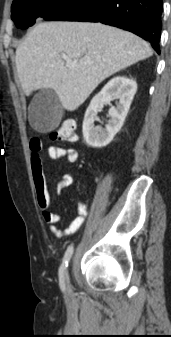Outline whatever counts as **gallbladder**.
Returning <instances> with one entry per match:
<instances>
[{
	"label": "gallbladder",
	"instance_id": "gallbladder-1",
	"mask_svg": "<svg viewBox=\"0 0 171 337\" xmlns=\"http://www.w3.org/2000/svg\"><path fill=\"white\" fill-rule=\"evenodd\" d=\"M63 108L54 90L43 89L30 103L28 117L33 128L48 132L58 126Z\"/></svg>",
	"mask_w": 171,
	"mask_h": 337
}]
</instances>
